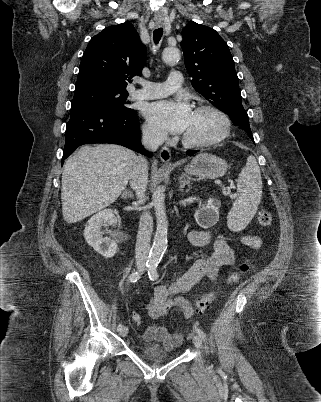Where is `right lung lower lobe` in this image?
<instances>
[{
    "instance_id": "obj_1",
    "label": "right lung lower lobe",
    "mask_w": 321,
    "mask_h": 402,
    "mask_svg": "<svg viewBox=\"0 0 321 402\" xmlns=\"http://www.w3.org/2000/svg\"><path fill=\"white\" fill-rule=\"evenodd\" d=\"M64 160L83 144L113 143L128 147L151 157L152 154L140 144V129L135 111L113 113L94 109L71 111L66 125Z\"/></svg>"
}]
</instances>
